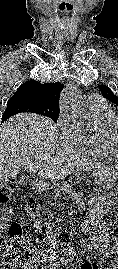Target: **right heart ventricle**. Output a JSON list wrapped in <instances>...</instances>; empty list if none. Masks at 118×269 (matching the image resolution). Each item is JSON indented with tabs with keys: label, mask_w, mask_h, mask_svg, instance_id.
I'll list each match as a JSON object with an SVG mask.
<instances>
[{
	"label": "right heart ventricle",
	"mask_w": 118,
	"mask_h": 269,
	"mask_svg": "<svg viewBox=\"0 0 118 269\" xmlns=\"http://www.w3.org/2000/svg\"><path fill=\"white\" fill-rule=\"evenodd\" d=\"M90 112L95 122V128L85 136L77 147L86 154L118 159V153L114 150L112 141L109 138V125L118 118V114L107 104L103 107L92 109Z\"/></svg>",
	"instance_id": "e07e8e85"
}]
</instances>
